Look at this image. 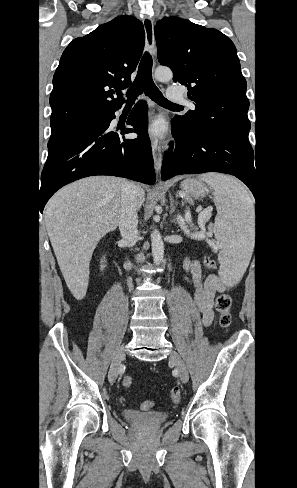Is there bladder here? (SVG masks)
<instances>
[{"label":"bladder","mask_w":297,"mask_h":488,"mask_svg":"<svg viewBox=\"0 0 297 488\" xmlns=\"http://www.w3.org/2000/svg\"><path fill=\"white\" fill-rule=\"evenodd\" d=\"M126 420L131 423L144 426H155L164 423L168 419V414L165 412H137L134 410H126L123 412Z\"/></svg>","instance_id":"1"}]
</instances>
